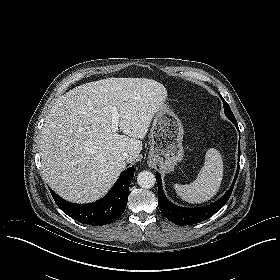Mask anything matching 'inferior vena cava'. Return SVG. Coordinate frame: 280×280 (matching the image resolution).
I'll return each mask as SVG.
<instances>
[{
	"label": "inferior vena cava",
	"mask_w": 280,
	"mask_h": 280,
	"mask_svg": "<svg viewBox=\"0 0 280 280\" xmlns=\"http://www.w3.org/2000/svg\"><path fill=\"white\" fill-rule=\"evenodd\" d=\"M122 159H123L124 161H129V160L131 159V156H130L127 152H125V153H123V155H122Z\"/></svg>",
	"instance_id": "obj_1"
}]
</instances>
